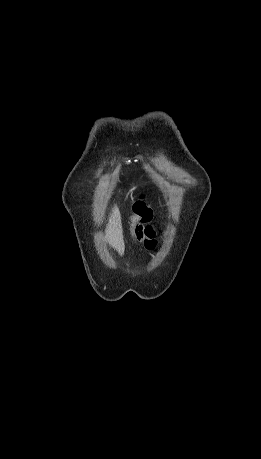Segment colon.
<instances>
[{
    "label": "colon",
    "instance_id": "obj_1",
    "mask_svg": "<svg viewBox=\"0 0 261 459\" xmlns=\"http://www.w3.org/2000/svg\"><path fill=\"white\" fill-rule=\"evenodd\" d=\"M135 216L128 218V227H124L122 233L124 236H133L139 234L141 238H151L155 228L152 226V220L148 218L150 216L151 209L145 200L140 199L135 202L133 206ZM137 219H140V224L137 223ZM156 234L155 232L153 233Z\"/></svg>",
    "mask_w": 261,
    "mask_h": 459
}]
</instances>
